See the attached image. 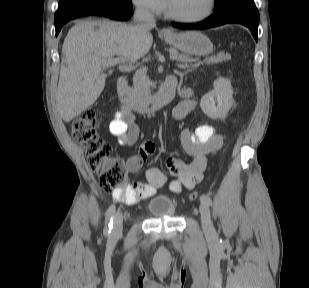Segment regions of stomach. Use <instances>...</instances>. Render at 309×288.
<instances>
[{
  "instance_id": "1",
  "label": "stomach",
  "mask_w": 309,
  "mask_h": 288,
  "mask_svg": "<svg viewBox=\"0 0 309 288\" xmlns=\"http://www.w3.org/2000/svg\"><path fill=\"white\" fill-rule=\"evenodd\" d=\"M164 39L168 44L189 55L204 56L213 50L210 39L199 31L171 33L164 35Z\"/></svg>"
}]
</instances>
